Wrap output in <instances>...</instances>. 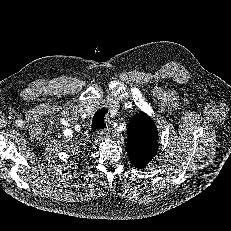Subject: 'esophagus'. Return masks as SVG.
Returning <instances> with one entry per match:
<instances>
[{
  "instance_id": "34e87169",
  "label": "esophagus",
  "mask_w": 231,
  "mask_h": 231,
  "mask_svg": "<svg viewBox=\"0 0 231 231\" xmlns=\"http://www.w3.org/2000/svg\"><path fill=\"white\" fill-rule=\"evenodd\" d=\"M110 134L109 129H101L97 131V136L100 138H107Z\"/></svg>"
}]
</instances>
